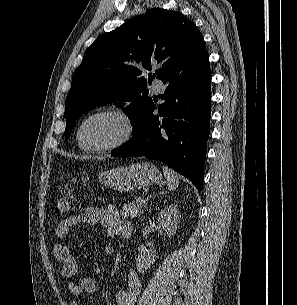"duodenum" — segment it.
Instances as JSON below:
<instances>
[{
	"label": "duodenum",
	"instance_id": "obj_1",
	"mask_svg": "<svg viewBox=\"0 0 297 305\" xmlns=\"http://www.w3.org/2000/svg\"><path fill=\"white\" fill-rule=\"evenodd\" d=\"M132 234V229L128 228L123 232L124 237H129Z\"/></svg>",
	"mask_w": 297,
	"mask_h": 305
}]
</instances>
